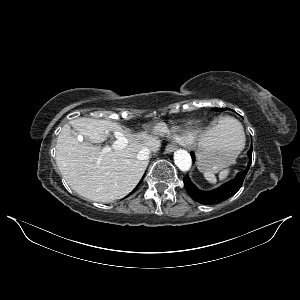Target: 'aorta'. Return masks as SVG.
I'll return each instance as SVG.
<instances>
[{
	"instance_id": "762f6f07",
	"label": "aorta",
	"mask_w": 300,
	"mask_h": 300,
	"mask_svg": "<svg viewBox=\"0 0 300 300\" xmlns=\"http://www.w3.org/2000/svg\"><path fill=\"white\" fill-rule=\"evenodd\" d=\"M175 165L183 172L188 171L192 165L190 154L183 149H179L174 153Z\"/></svg>"
}]
</instances>
